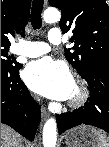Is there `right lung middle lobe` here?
Listing matches in <instances>:
<instances>
[{
	"label": "right lung middle lobe",
	"mask_w": 109,
	"mask_h": 147,
	"mask_svg": "<svg viewBox=\"0 0 109 147\" xmlns=\"http://www.w3.org/2000/svg\"><path fill=\"white\" fill-rule=\"evenodd\" d=\"M8 48H1V66L9 67L13 65V62L10 61V57L7 54Z\"/></svg>",
	"instance_id": "right-lung-middle-lobe-1"
}]
</instances>
